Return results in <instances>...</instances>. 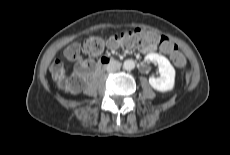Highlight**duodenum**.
I'll return each instance as SVG.
<instances>
[{"instance_id":"duodenum-1","label":"duodenum","mask_w":230,"mask_h":155,"mask_svg":"<svg viewBox=\"0 0 230 155\" xmlns=\"http://www.w3.org/2000/svg\"><path fill=\"white\" fill-rule=\"evenodd\" d=\"M114 59L110 56H104L100 59L98 66L96 67L95 73L100 72L103 70L107 65L112 64Z\"/></svg>"}]
</instances>
